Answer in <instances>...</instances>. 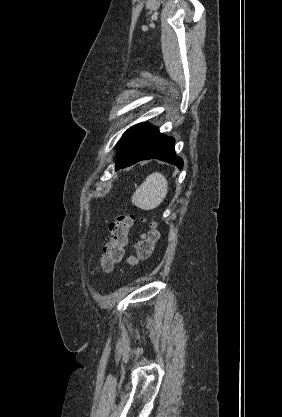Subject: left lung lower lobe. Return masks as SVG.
Returning a JSON list of instances; mask_svg holds the SVG:
<instances>
[{"label": "left lung lower lobe", "mask_w": 282, "mask_h": 417, "mask_svg": "<svg viewBox=\"0 0 282 417\" xmlns=\"http://www.w3.org/2000/svg\"><path fill=\"white\" fill-rule=\"evenodd\" d=\"M146 159L163 160L179 169L183 167L182 159L174 151V139L159 133L156 127L140 123L123 134L117 148L115 170Z\"/></svg>", "instance_id": "left-lung-lower-lobe-1"}]
</instances>
